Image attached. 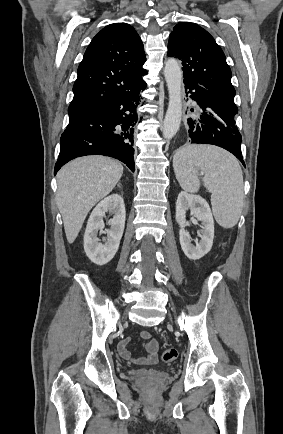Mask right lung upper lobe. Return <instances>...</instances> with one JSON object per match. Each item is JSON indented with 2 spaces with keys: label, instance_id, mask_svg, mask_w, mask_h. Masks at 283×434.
Returning <instances> with one entry per match:
<instances>
[{
  "label": "right lung upper lobe",
  "instance_id": "cb5924a9",
  "mask_svg": "<svg viewBox=\"0 0 283 434\" xmlns=\"http://www.w3.org/2000/svg\"><path fill=\"white\" fill-rule=\"evenodd\" d=\"M145 61L143 43L132 26L114 23L103 28L78 67L69 116L138 88L147 74Z\"/></svg>",
  "mask_w": 283,
  "mask_h": 434
}]
</instances>
